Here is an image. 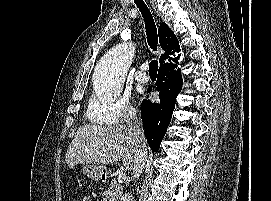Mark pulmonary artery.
I'll use <instances>...</instances> for the list:
<instances>
[{
  "mask_svg": "<svg viewBox=\"0 0 271 201\" xmlns=\"http://www.w3.org/2000/svg\"><path fill=\"white\" fill-rule=\"evenodd\" d=\"M147 64H143L138 72L135 73V80L140 83L149 81V76L146 73Z\"/></svg>",
  "mask_w": 271,
  "mask_h": 201,
  "instance_id": "1",
  "label": "pulmonary artery"
}]
</instances>
